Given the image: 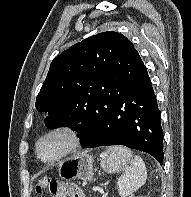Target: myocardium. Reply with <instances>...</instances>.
<instances>
[{"mask_svg": "<svg viewBox=\"0 0 191 197\" xmlns=\"http://www.w3.org/2000/svg\"><path fill=\"white\" fill-rule=\"evenodd\" d=\"M53 136L61 137L65 142V148L54 158L45 159L41 155V144L44 140ZM81 144L82 137L80 132L76 128L68 125H56L46 129L38 137L35 146L36 156L44 164H54L74 154L81 147Z\"/></svg>", "mask_w": 191, "mask_h": 197, "instance_id": "1", "label": "myocardium"}]
</instances>
